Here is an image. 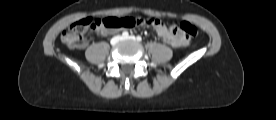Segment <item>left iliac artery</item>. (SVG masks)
<instances>
[{"mask_svg":"<svg viewBox=\"0 0 276 120\" xmlns=\"http://www.w3.org/2000/svg\"><path fill=\"white\" fill-rule=\"evenodd\" d=\"M137 41H142V38H141V36H137Z\"/></svg>","mask_w":276,"mask_h":120,"instance_id":"1","label":"left iliac artery"}]
</instances>
